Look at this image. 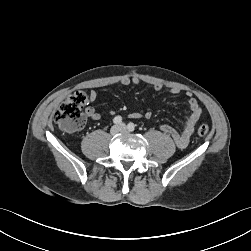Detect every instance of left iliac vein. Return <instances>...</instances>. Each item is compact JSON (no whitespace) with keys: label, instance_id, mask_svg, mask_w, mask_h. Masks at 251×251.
Returning a JSON list of instances; mask_svg holds the SVG:
<instances>
[{"label":"left iliac vein","instance_id":"obj_1","mask_svg":"<svg viewBox=\"0 0 251 251\" xmlns=\"http://www.w3.org/2000/svg\"><path fill=\"white\" fill-rule=\"evenodd\" d=\"M120 128H121L122 132H127V130H128L127 127L125 126V124H121Z\"/></svg>","mask_w":251,"mask_h":251}]
</instances>
